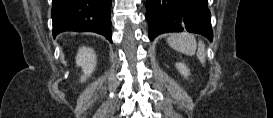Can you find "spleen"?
<instances>
[{
	"mask_svg": "<svg viewBox=\"0 0 273 118\" xmlns=\"http://www.w3.org/2000/svg\"><path fill=\"white\" fill-rule=\"evenodd\" d=\"M167 42L169 46L172 47L173 49L189 56L194 55L197 50L196 40L190 34L186 33L171 34L168 37ZM196 54L200 62L204 64L206 53L205 45L203 42H199Z\"/></svg>",
	"mask_w": 273,
	"mask_h": 118,
	"instance_id": "obj_1",
	"label": "spleen"
}]
</instances>
